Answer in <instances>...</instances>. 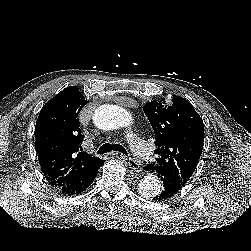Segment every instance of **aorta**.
I'll return each instance as SVG.
<instances>
[{
	"label": "aorta",
	"mask_w": 251,
	"mask_h": 251,
	"mask_svg": "<svg viewBox=\"0 0 251 251\" xmlns=\"http://www.w3.org/2000/svg\"><path fill=\"white\" fill-rule=\"evenodd\" d=\"M93 120L96 126L103 130L126 128L133 123L132 116L126 109L109 104L98 107ZM160 191V180L154 174H148L138 184L139 194L147 199L154 198Z\"/></svg>",
	"instance_id": "762f6f07"
}]
</instances>
